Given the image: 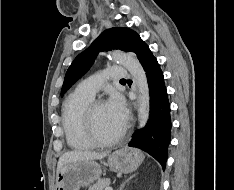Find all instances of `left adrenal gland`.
Segmentation results:
<instances>
[{
  "mask_svg": "<svg viewBox=\"0 0 234 190\" xmlns=\"http://www.w3.org/2000/svg\"><path fill=\"white\" fill-rule=\"evenodd\" d=\"M133 177H135V175H132L131 177H129L127 180H125L122 184H121V186H120V189L119 190H123L124 189V187H125V185L133 178Z\"/></svg>",
  "mask_w": 234,
  "mask_h": 190,
  "instance_id": "obj_1",
  "label": "left adrenal gland"
}]
</instances>
